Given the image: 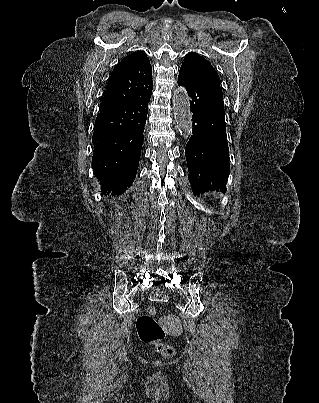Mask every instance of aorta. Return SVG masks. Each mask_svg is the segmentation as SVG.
<instances>
[{"label":"aorta","instance_id":"aorta-1","mask_svg":"<svg viewBox=\"0 0 319 403\" xmlns=\"http://www.w3.org/2000/svg\"><path fill=\"white\" fill-rule=\"evenodd\" d=\"M172 101L176 126L181 136L189 139L192 135V116L187 91L184 88H176Z\"/></svg>","mask_w":319,"mask_h":403}]
</instances>
